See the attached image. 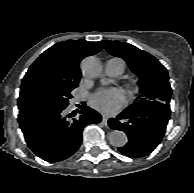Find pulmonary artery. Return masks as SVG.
Instances as JSON below:
<instances>
[{"label": "pulmonary artery", "mask_w": 194, "mask_h": 193, "mask_svg": "<svg viewBox=\"0 0 194 193\" xmlns=\"http://www.w3.org/2000/svg\"><path fill=\"white\" fill-rule=\"evenodd\" d=\"M125 68L124 62L119 58H112L105 63V72L110 77H116L123 73Z\"/></svg>", "instance_id": "pulmonary-artery-1"}]
</instances>
